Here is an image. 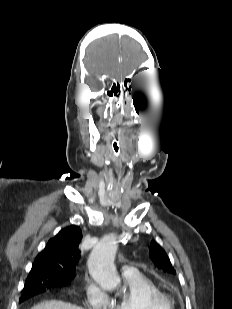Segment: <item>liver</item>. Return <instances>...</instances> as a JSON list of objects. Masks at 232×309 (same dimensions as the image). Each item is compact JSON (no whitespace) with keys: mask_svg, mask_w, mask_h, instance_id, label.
I'll list each match as a JSON object with an SVG mask.
<instances>
[{"mask_svg":"<svg viewBox=\"0 0 232 309\" xmlns=\"http://www.w3.org/2000/svg\"><path fill=\"white\" fill-rule=\"evenodd\" d=\"M31 309H84V308L63 301L49 300L41 302L33 306Z\"/></svg>","mask_w":232,"mask_h":309,"instance_id":"obj_1","label":"liver"}]
</instances>
